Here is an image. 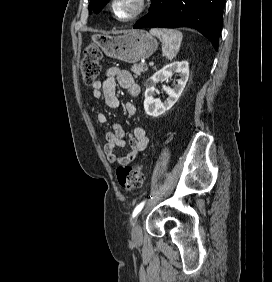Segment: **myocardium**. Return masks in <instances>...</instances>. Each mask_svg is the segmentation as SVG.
Here are the masks:
<instances>
[{"mask_svg": "<svg viewBox=\"0 0 272 282\" xmlns=\"http://www.w3.org/2000/svg\"><path fill=\"white\" fill-rule=\"evenodd\" d=\"M119 0H112L111 2V11L113 13V15L122 22H132L136 19H138L140 16L143 15V13L146 11L147 7H148V0H137L138 3V7L137 10L131 14L128 17L122 18L119 17L117 14V10H116V6L118 4Z\"/></svg>", "mask_w": 272, "mask_h": 282, "instance_id": "obj_1", "label": "myocardium"}]
</instances>
